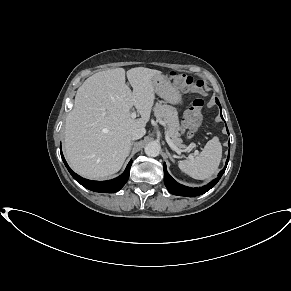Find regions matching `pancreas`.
Listing matches in <instances>:
<instances>
[{
	"instance_id": "pancreas-1",
	"label": "pancreas",
	"mask_w": 291,
	"mask_h": 291,
	"mask_svg": "<svg viewBox=\"0 0 291 291\" xmlns=\"http://www.w3.org/2000/svg\"><path fill=\"white\" fill-rule=\"evenodd\" d=\"M154 115L157 120L164 121L168 127V135L173 144L178 148H183L182 139L179 137L178 114L174 107L157 103L154 107Z\"/></svg>"
}]
</instances>
